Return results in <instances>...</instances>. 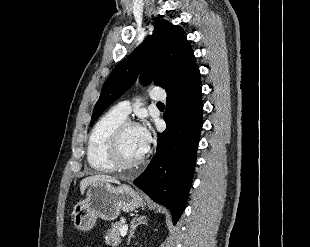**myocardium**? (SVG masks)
Returning <instances> with one entry per match:
<instances>
[{
    "label": "myocardium",
    "mask_w": 310,
    "mask_h": 247,
    "mask_svg": "<svg viewBox=\"0 0 310 247\" xmlns=\"http://www.w3.org/2000/svg\"><path fill=\"white\" fill-rule=\"evenodd\" d=\"M130 127H138L137 123L131 120H124L113 131L107 149V157L116 170H131L139 167L146 157V152L138 160L133 162H125L122 157L121 144L124 133Z\"/></svg>",
    "instance_id": "obj_1"
}]
</instances>
